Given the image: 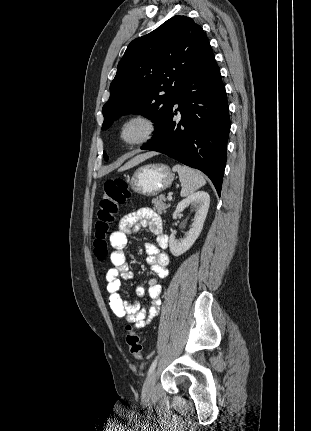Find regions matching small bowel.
<instances>
[{
    "mask_svg": "<svg viewBox=\"0 0 311 431\" xmlns=\"http://www.w3.org/2000/svg\"><path fill=\"white\" fill-rule=\"evenodd\" d=\"M141 227H148L156 239L155 243L147 242L145 244L147 262L160 279L168 276L170 260L165 252L169 242L168 236L163 232L161 217L150 208H141L128 213L120 220L118 229L110 236V243L113 248L110 259L113 267L107 271L105 276L106 289L109 295L108 302L112 312L117 317L125 318L129 323L140 328L150 325L157 317L163 291L156 279L149 280L147 289L144 285L138 286L137 295L143 296L147 293L151 299V303L144 308H140L138 303L129 304L120 294L121 280L133 278L125 255L128 236L137 232Z\"/></svg>",
    "mask_w": 311,
    "mask_h": 431,
    "instance_id": "c3829d8e",
    "label": "small bowel"
}]
</instances>
